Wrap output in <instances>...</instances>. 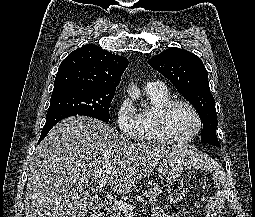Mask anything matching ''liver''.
Returning a JSON list of instances; mask_svg holds the SVG:
<instances>
[{
    "mask_svg": "<svg viewBox=\"0 0 255 217\" xmlns=\"http://www.w3.org/2000/svg\"><path fill=\"white\" fill-rule=\"evenodd\" d=\"M172 149L199 158L190 147ZM170 151L159 143L130 142L93 118H66L35 150L26 186V217H84L92 207L84 180L106 178L114 192L129 193Z\"/></svg>",
    "mask_w": 255,
    "mask_h": 217,
    "instance_id": "liver-1",
    "label": "liver"
}]
</instances>
